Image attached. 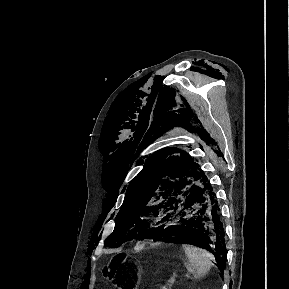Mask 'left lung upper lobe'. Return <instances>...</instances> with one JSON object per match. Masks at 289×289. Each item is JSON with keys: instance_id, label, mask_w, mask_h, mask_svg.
I'll list each match as a JSON object with an SVG mask.
<instances>
[{"instance_id": "obj_1", "label": "left lung upper lobe", "mask_w": 289, "mask_h": 289, "mask_svg": "<svg viewBox=\"0 0 289 289\" xmlns=\"http://www.w3.org/2000/svg\"><path fill=\"white\" fill-rule=\"evenodd\" d=\"M207 180L184 151L165 148L155 152L129 185L114 231L105 245L115 248L127 241L143 239L165 222L170 203L186 187Z\"/></svg>"}]
</instances>
